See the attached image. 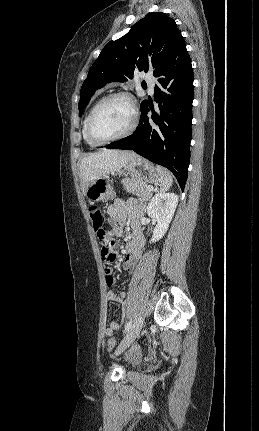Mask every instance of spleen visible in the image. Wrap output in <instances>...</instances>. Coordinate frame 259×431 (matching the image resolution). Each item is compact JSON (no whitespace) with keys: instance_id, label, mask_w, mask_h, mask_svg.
I'll return each instance as SVG.
<instances>
[{"instance_id":"spleen-1","label":"spleen","mask_w":259,"mask_h":431,"mask_svg":"<svg viewBox=\"0 0 259 431\" xmlns=\"http://www.w3.org/2000/svg\"><path fill=\"white\" fill-rule=\"evenodd\" d=\"M156 169L160 176L161 191H167L173 183L172 174L169 170L159 165L156 167Z\"/></svg>"}]
</instances>
